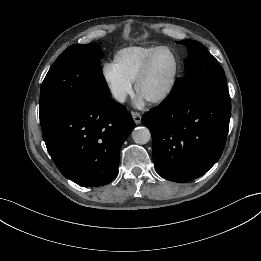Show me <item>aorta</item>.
I'll return each mask as SVG.
<instances>
[{
    "label": "aorta",
    "mask_w": 261,
    "mask_h": 261,
    "mask_svg": "<svg viewBox=\"0 0 261 261\" xmlns=\"http://www.w3.org/2000/svg\"><path fill=\"white\" fill-rule=\"evenodd\" d=\"M132 138L135 143L143 145L150 141L151 133L147 127H136L132 132Z\"/></svg>",
    "instance_id": "1"
}]
</instances>
